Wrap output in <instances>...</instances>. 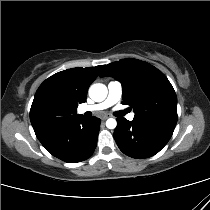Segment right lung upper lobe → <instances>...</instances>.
Here are the masks:
<instances>
[{
  "label": "right lung upper lobe",
  "instance_id": "cb5924a9",
  "mask_svg": "<svg viewBox=\"0 0 210 210\" xmlns=\"http://www.w3.org/2000/svg\"><path fill=\"white\" fill-rule=\"evenodd\" d=\"M102 68L103 65L67 69L52 75L40 85L30 110V120L36 136L77 116L78 104L86 101L87 90ZM48 111L55 112L58 122L46 130H38L36 128L38 117Z\"/></svg>",
  "mask_w": 210,
  "mask_h": 210
}]
</instances>
